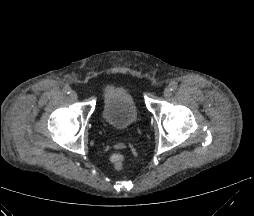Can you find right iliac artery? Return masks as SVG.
<instances>
[{
	"mask_svg": "<svg viewBox=\"0 0 254 216\" xmlns=\"http://www.w3.org/2000/svg\"><path fill=\"white\" fill-rule=\"evenodd\" d=\"M63 91L66 93V94H70L71 93V88L69 86H66Z\"/></svg>",
	"mask_w": 254,
	"mask_h": 216,
	"instance_id": "right-iliac-artery-1",
	"label": "right iliac artery"
}]
</instances>
